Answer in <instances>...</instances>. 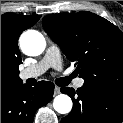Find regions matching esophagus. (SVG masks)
I'll return each mask as SVG.
<instances>
[{
    "label": "esophagus",
    "mask_w": 123,
    "mask_h": 123,
    "mask_svg": "<svg viewBox=\"0 0 123 123\" xmlns=\"http://www.w3.org/2000/svg\"><path fill=\"white\" fill-rule=\"evenodd\" d=\"M58 94H60V87L55 86V88H54V95H58Z\"/></svg>",
    "instance_id": "1"
}]
</instances>
